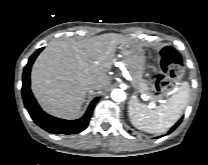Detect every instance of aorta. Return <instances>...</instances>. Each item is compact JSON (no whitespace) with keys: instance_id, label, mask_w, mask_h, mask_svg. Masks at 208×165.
Listing matches in <instances>:
<instances>
[{"instance_id":"obj_1","label":"aorta","mask_w":208,"mask_h":165,"mask_svg":"<svg viewBox=\"0 0 208 165\" xmlns=\"http://www.w3.org/2000/svg\"><path fill=\"white\" fill-rule=\"evenodd\" d=\"M111 98L116 102H122L126 99V94L122 89H114Z\"/></svg>"}]
</instances>
